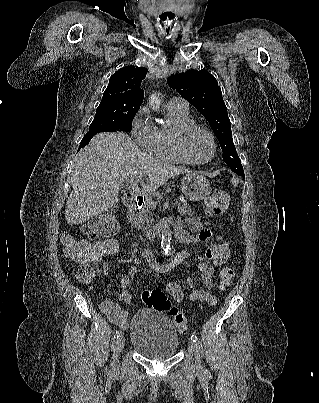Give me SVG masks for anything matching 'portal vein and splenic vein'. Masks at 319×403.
Masks as SVG:
<instances>
[{
	"mask_svg": "<svg viewBox=\"0 0 319 403\" xmlns=\"http://www.w3.org/2000/svg\"><path fill=\"white\" fill-rule=\"evenodd\" d=\"M139 182H140V178H136L135 180H131L130 182L126 183V186L132 192L139 193V188H138ZM147 201L149 202L150 205L155 206V203L153 202L152 199H148ZM179 205H180V202L176 201L173 203V206H179Z\"/></svg>",
	"mask_w": 319,
	"mask_h": 403,
	"instance_id": "18ae733b",
	"label": "portal vein and splenic vein"
}]
</instances>
